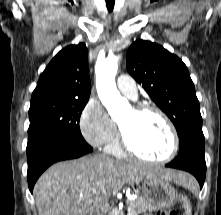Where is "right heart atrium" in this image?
Wrapping results in <instances>:
<instances>
[{
  "label": "right heart atrium",
  "mask_w": 221,
  "mask_h": 215,
  "mask_svg": "<svg viewBox=\"0 0 221 215\" xmlns=\"http://www.w3.org/2000/svg\"><path fill=\"white\" fill-rule=\"evenodd\" d=\"M79 128L83 138L92 146L109 144L117 135V126L103 105L96 99H89L84 106Z\"/></svg>",
  "instance_id": "1"
}]
</instances>
